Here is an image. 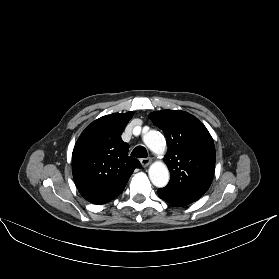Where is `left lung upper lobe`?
<instances>
[{
    "label": "left lung upper lobe",
    "instance_id": "1",
    "mask_svg": "<svg viewBox=\"0 0 279 279\" xmlns=\"http://www.w3.org/2000/svg\"><path fill=\"white\" fill-rule=\"evenodd\" d=\"M148 117L165 133L168 145L164 161L170 181L158 191L197 201L209 189L214 176L216 153L210 133L196 117L181 110L156 111Z\"/></svg>",
    "mask_w": 279,
    "mask_h": 279
}]
</instances>
